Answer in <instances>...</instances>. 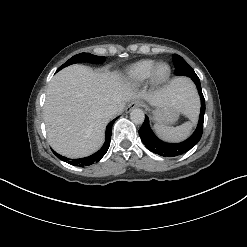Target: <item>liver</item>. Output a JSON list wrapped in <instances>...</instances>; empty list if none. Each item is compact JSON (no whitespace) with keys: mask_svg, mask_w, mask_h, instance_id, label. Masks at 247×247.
<instances>
[{"mask_svg":"<svg viewBox=\"0 0 247 247\" xmlns=\"http://www.w3.org/2000/svg\"><path fill=\"white\" fill-rule=\"evenodd\" d=\"M135 98H143L152 106L174 105L188 116L196 111V99L185 79H173L153 93H135L117 73L72 65L57 73L47 89L43 114L50 145L70 158L94 153L103 144L110 120L105 110L117 106L120 111Z\"/></svg>","mask_w":247,"mask_h":247,"instance_id":"obj_1","label":"liver"}]
</instances>
